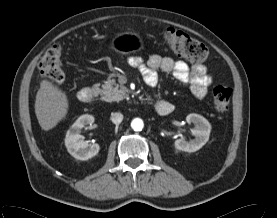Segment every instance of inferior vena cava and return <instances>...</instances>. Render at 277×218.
<instances>
[{"label": "inferior vena cava", "mask_w": 277, "mask_h": 218, "mask_svg": "<svg viewBox=\"0 0 277 218\" xmlns=\"http://www.w3.org/2000/svg\"><path fill=\"white\" fill-rule=\"evenodd\" d=\"M123 120V114L120 113V112H115V113H112L111 115V121L114 123V124H120Z\"/></svg>", "instance_id": "obj_1"}]
</instances>
